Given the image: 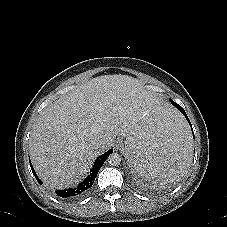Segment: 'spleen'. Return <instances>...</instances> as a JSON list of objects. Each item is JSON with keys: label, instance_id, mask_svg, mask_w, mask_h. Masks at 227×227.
<instances>
[{"label": "spleen", "instance_id": "spleen-1", "mask_svg": "<svg viewBox=\"0 0 227 227\" xmlns=\"http://www.w3.org/2000/svg\"><path fill=\"white\" fill-rule=\"evenodd\" d=\"M197 141L174 105L155 102L151 114L124 139V154L134 174L163 184L183 177Z\"/></svg>", "mask_w": 227, "mask_h": 227}]
</instances>
